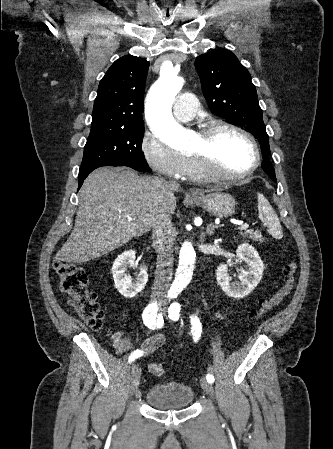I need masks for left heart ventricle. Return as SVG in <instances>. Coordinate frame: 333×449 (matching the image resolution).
Instances as JSON below:
<instances>
[{
    "instance_id": "left-heart-ventricle-1",
    "label": "left heart ventricle",
    "mask_w": 333,
    "mask_h": 449,
    "mask_svg": "<svg viewBox=\"0 0 333 449\" xmlns=\"http://www.w3.org/2000/svg\"><path fill=\"white\" fill-rule=\"evenodd\" d=\"M200 151L206 152L210 168L219 174L242 172L252 166L255 158L250 143L229 130L217 132L207 144L197 136L189 153Z\"/></svg>"
}]
</instances>
